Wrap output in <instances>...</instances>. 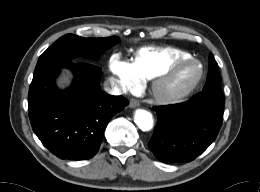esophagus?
Masks as SVG:
<instances>
[{
  "label": "esophagus",
  "mask_w": 260,
  "mask_h": 192,
  "mask_svg": "<svg viewBox=\"0 0 260 192\" xmlns=\"http://www.w3.org/2000/svg\"><path fill=\"white\" fill-rule=\"evenodd\" d=\"M139 105H140V102H139L137 99L132 98V99L130 100L129 106H130L131 108L138 107Z\"/></svg>",
  "instance_id": "1"
}]
</instances>
